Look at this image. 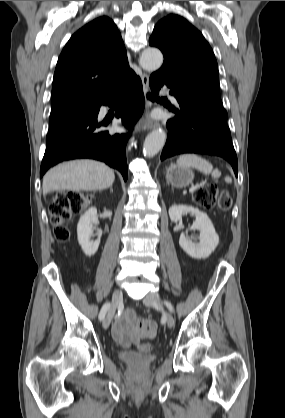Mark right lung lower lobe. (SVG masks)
<instances>
[{
    "mask_svg": "<svg viewBox=\"0 0 285 418\" xmlns=\"http://www.w3.org/2000/svg\"><path fill=\"white\" fill-rule=\"evenodd\" d=\"M116 117L130 130L143 112L145 99L142 82L134 74L132 82L118 94L93 104L91 114L81 115L50 127L46 137V150L41 163L40 177L59 162L90 158L105 162L119 170L124 180L128 177L126 142L129 134H110L104 130L109 122L98 121L101 105L114 107Z\"/></svg>",
    "mask_w": 285,
    "mask_h": 418,
    "instance_id": "98d812e1",
    "label": "right lung lower lobe"
}]
</instances>
